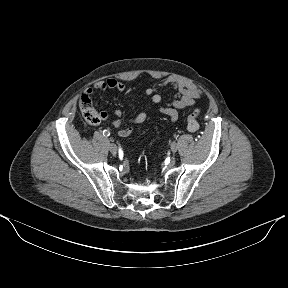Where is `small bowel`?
I'll return each mask as SVG.
<instances>
[{"label":"small bowel","instance_id":"1","mask_svg":"<svg viewBox=\"0 0 288 288\" xmlns=\"http://www.w3.org/2000/svg\"><path fill=\"white\" fill-rule=\"evenodd\" d=\"M171 87L176 91L174 99L166 105L160 106L159 110L162 114L166 115L171 122H175L178 119L179 111L184 110L188 107L195 105L198 99L202 97L201 90L192 81L177 76H168L164 79L159 80L145 91L146 96L151 97L154 104H160L162 101V95L160 91L163 88ZM116 90L123 94L125 100L135 98V94L131 87H127L121 81L108 78L103 81H98L94 84L93 88H88L85 91V95L91 96L94 90L105 91V90ZM103 120L108 118L107 112H102ZM113 114L116 116L112 120V125L117 129V133L120 137L125 138L130 136L133 131V125L142 124L147 120V113L140 112L135 117L127 119V122L131 125L123 127V111L120 109H114Z\"/></svg>","mask_w":288,"mask_h":288}]
</instances>
